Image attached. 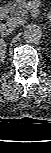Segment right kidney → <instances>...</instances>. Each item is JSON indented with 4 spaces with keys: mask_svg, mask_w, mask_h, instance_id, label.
<instances>
[{
    "mask_svg": "<svg viewBox=\"0 0 51 153\" xmlns=\"http://www.w3.org/2000/svg\"><path fill=\"white\" fill-rule=\"evenodd\" d=\"M5 51H6V44L1 42L0 43V58H1V60L4 59Z\"/></svg>",
    "mask_w": 51,
    "mask_h": 153,
    "instance_id": "1",
    "label": "right kidney"
}]
</instances>
